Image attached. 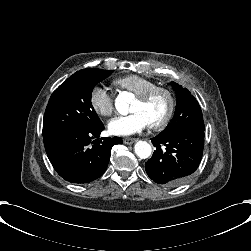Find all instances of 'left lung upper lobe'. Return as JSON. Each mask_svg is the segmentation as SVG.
Instances as JSON below:
<instances>
[{"instance_id":"1","label":"left lung upper lobe","mask_w":251,"mask_h":251,"mask_svg":"<svg viewBox=\"0 0 251 251\" xmlns=\"http://www.w3.org/2000/svg\"><path fill=\"white\" fill-rule=\"evenodd\" d=\"M171 85L176 91L177 106L170 125L159 135L166 136L190 128L205 130L202 111L195 97L187 88H183L175 82H172Z\"/></svg>"}]
</instances>
